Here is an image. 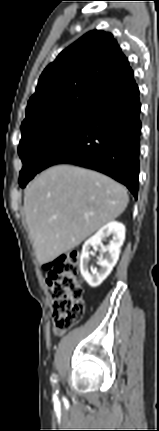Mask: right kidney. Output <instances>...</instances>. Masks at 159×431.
<instances>
[{
    "label": "right kidney",
    "mask_w": 159,
    "mask_h": 431,
    "mask_svg": "<svg viewBox=\"0 0 159 431\" xmlns=\"http://www.w3.org/2000/svg\"><path fill=\"white\" fill-rule=\"evenodd\" d=\"M125 232V226L122 223L113 221L103 226L83 245L80 257V271L90 287H98L111 273L119 259L120 248L125 240ZM110 235H112V240L107 246L102 248L101 254L98 257L97 264L99 265V269L93 271L89 264L92 254L90 249L91 247L101 246L102 240Z\"/></svg>",
    "instance_id": "right-kidney-1"
}]
</instances>
